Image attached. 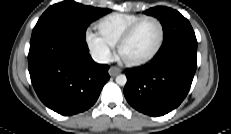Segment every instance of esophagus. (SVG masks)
<instances>
[{"label": "esophagus", "mask_w": 231, "mask_h": 134, "mask_svg": "<svg viewBox=\"0 0 231 134\" xmlns=\"http://www.w3.org/2000/svg\"><path fill=\"white\" fill-rule=\"evenodd\" d=\"M121 72V70L118 67H111L109 69V74L110 76L114 77L116 75H118Z\"/></svg>", "instance_id": "esophagus-1"}]
</instances>
